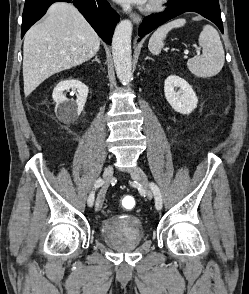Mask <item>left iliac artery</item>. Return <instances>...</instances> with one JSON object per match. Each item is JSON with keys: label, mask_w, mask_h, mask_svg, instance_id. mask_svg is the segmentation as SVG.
<instances>
[{"label": "left iliac artery", "mask_w": 249, "mask_h": 294, "mask_svg": "<svg viewBox=\"0 0 249 294\" xmlns=\"http://www.w3.org/2000/svg\"><path fill=\"white\" fill-rule=\"evenodd\" d=\"M151 190L154 194L155 197V206L157 210H160L162 208V196H161V192L160 189L158 188V186L154 183L150 184Z\"/></svg>", "instance_id": "1"}]
</instances>
